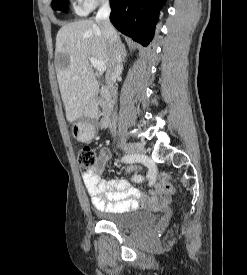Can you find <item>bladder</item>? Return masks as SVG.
<instances>
[{
    "label": "bladder",
    "instance_id": "bladder-1",
    "mask_svg": "<svg viewBox=\"0 0 247 275\" xmlns=\"http://www.w3.org/2000/svg\"><path fill=\"white\" fill-rule=\"evenodd\" d=\"M94 212L104 222L119 228H129L142 225H152L156 221V214L141 209L126 210L122 212H109L94 208Z\"/></svg>",
    "mask_w": 247,
    "mask_h": 275
}]
</instances>
